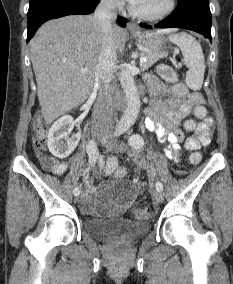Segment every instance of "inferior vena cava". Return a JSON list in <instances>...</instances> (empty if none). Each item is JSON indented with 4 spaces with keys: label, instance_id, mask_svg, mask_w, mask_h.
<instances>
[{
    "label": "inferior vena cava",
    "instance_id": "1",
    "mask_svg": "<svg viewBox=\"0 0 233 284\" xmlns=\"http://www.w3.org/2000/svg\"><path fill=\"white\" fill-rule=\"evenodd\" d=\"M117 1L101 0L94 12V18L103 33L102 50L95 72V87L98 97L92 113V127L95 131L111 134L113 132V110L115 89L110 86L117 60L113 45L112 26L117 18Z\"/></svg>",
    "mask_w": 233,
    "mask_h": 284
}]
</instances>
